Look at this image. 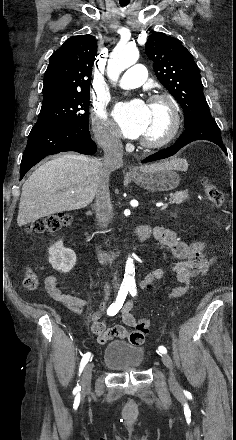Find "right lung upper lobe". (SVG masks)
Returning <instances> with one entry per match:
<instances>
[{
    "label": "right lung upper lobe",
    "instance_id": "1",
    "mask_svg": "<svg viewBox=\"0 0 236 440\" xmlns=\"http://www.w3.org/2000/svg\"><path fill=\"white\" fill-rule=\"evenodd\" d=\"M97 52L90 35L68 38L49 61L43 83V104L90 94L91 73Z\"/></svg>",
    "mask_w": 236,
    "mask_h": 440
}]
</instances>
